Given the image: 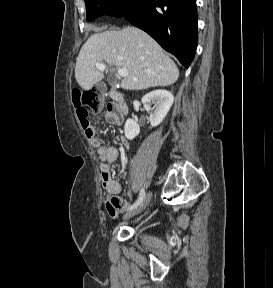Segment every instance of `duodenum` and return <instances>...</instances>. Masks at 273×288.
<instances>
[{"label": "duodenum", "instance_id": "duodenum-1", "mask_svg": "<svg viewBox=\"0 0 273 288\" xmlns=\"http://www.w3.org/2000/svg\"><path fill=\"white\" fill-rule=\"evenodd\" d=\"M110 96L115 104V115L124 118L127 114V105L123 95L119 91L113 89L110 92Z\"/></svg>", "mask_w": 273, "mask_h": 288}]
</instances>
